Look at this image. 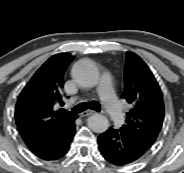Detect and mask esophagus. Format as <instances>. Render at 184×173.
I'll list each match as a JSON object with an SVG mask.
<instances>
[{"label":"esophagus","instance_id":"obj_1","mask_svg":"<svg viewBox=\"0 0 184 173\" xmlns=\"http://www.w3.org/2000/svg\"><path fill=\"white\" fill-rule=\"evenodd\" d=\"M95 113H96V112L93 111V110H86V111L80 113L79 116H80L81 118H84V117L93 115V114H95Z\"/></svg>","mask_w":184,"mask_h":173}]
</instances>
